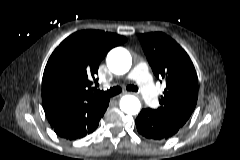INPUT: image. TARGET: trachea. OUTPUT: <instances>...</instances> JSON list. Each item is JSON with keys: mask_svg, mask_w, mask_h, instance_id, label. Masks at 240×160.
Segmentation results:
<instances>
[{"mask_svg": "<svg viewBox=\"0 0 240 160\" xmlns=\"http://www.w3.org/2000/svg\"><path fill=\"white\" fill-rule=\"evenodd\" d=\"M128 91H132V92H137L138 91V87L134 86V85H129L126 88ZM122 92V89L119 86H115L107 91H98L99 94H102L104 96H108V97H112L115 95H118L119 93Z\"/></svg>", "mask_w": 240, "mask_h": 160, "instance_id": "1", "label": "trachea"}]
</instances>
